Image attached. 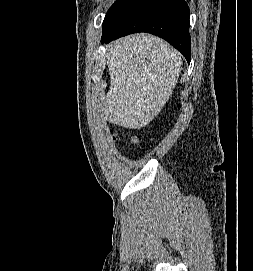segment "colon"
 <instances>
[{"instance_id":"1","label":"colon","mask_w":253,"mask_h":271,"mask_svg":"<svg viewBox=\"0 0 253 271\" xmlns=\"http://www.w3.org/2000/svg\"><path fill=\"white\" fill-rule=\"evenodd\" d=\"M115 139L117 140L118 138L116 137ZM130 142H131L132 145H136L138 140L137 139H131Z\"/></svg>"}]
</instances>
